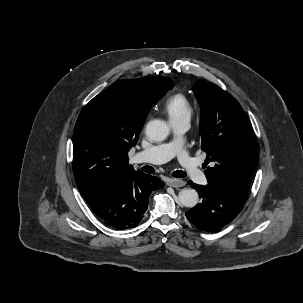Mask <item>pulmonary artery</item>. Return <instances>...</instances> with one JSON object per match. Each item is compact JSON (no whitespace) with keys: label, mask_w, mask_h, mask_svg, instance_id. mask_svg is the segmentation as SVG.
<instances>
[{"label":"pulmonary artery","mask_w":303,"mask_h":303,"mask_svg":"<svg viewBox=\"0 0 303 303\" xmlns=\"http://www.w3.org/2000/svg\"><path fill=\"white\" fill-rule=\"evenodd\" d=\"M172 127L175 137L170 142L153 146L137 153L134 156V161L137 163L161 164L177 157L179 163L184 167L186 173L193 181L205 184L207 182L206 177L199 168L197 161L182 149L181 136L188 130L189 120L174 123Z\"/></svg>","instance_id":"obj_1"}]
</instances>
